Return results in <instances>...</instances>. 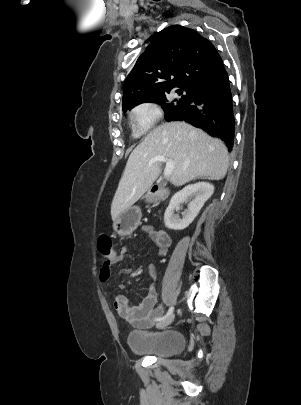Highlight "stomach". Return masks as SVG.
Wrapping results in <instances>:
<instances>
[{
  "instance_id": "stomach-1",
  "label": "stomach",
  "mask_w": 301,
  "mask_h": 405,
  "mask_svg": "<svg viewBox=\"0 0 301 405\" xmlns=\"http://www.w3.org/2000/svg\"><path fill=\"white\" fill-rule=\"evenodd\" d=\"M140 211L135 208H129L123 211L114 221L113 228L120 236L131 234L138 226L140 221Z\"/></svg>"
}]
</instances>
